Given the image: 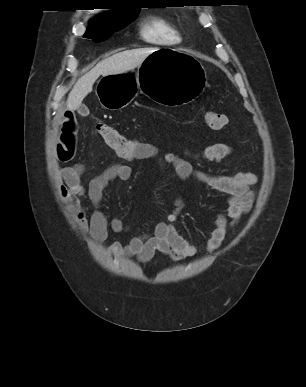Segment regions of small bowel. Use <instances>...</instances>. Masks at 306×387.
Masks as SVG:
<instances>
[{
    "instance_id": "obj_1",
    "label": "small bowel",
    "mask_w": 306,
    "mask_h": 387,
    "mask_svg": "<svg viewBox=\"0 0 306 387\" xmlns=\"http://www.w3.org/2000/svg\"><path fill=\"white\" fill-rule=\"evenodd\" d=\"M59 134L54 144V153L63 163L73 159L78 142V124L75 114L67 112L58 123ZM232 147L218 143L207 146L198 154L173 152L161 153L158 147L149 142H139L137 148L127 158L128 161L155 159L161 167L171 165L181 180L195 179L226 197V209L216 215L214 229L207 240L206 249L213 252L224 241L229 227L234 226L247 213L253 203L250 187L255 184L256 176L251 172H238L230 175H212L194 169V162L220 161L233 153ZM83 167L72 165L59 169L62 177L60 186L67 210L82 231L88 233L96 242L103 243L111 229L122 233L127 227L119 218L109 220L101 210V203L107 186L113 181L126 182L132 176V168L123 163H115L94 176L87 185L82 182ZM93 211L88 216V205ZM184 202L181 197L174 201V209L165 220L157 222L146 233L134 236L126 244L114 242L109 253L117 257H135L142 263L149 262L158 252L173 260L192 257L197 249L180 235L175 222L180 216Z\"/></svg>"
}]
</instances>
